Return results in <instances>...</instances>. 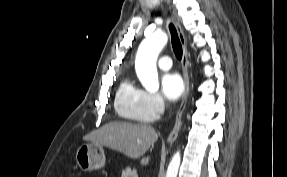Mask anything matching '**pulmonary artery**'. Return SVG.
<instances>
[{
  "label": "pulmonary artery",
  "mask_w": 287,
  "mask_h": 177,
  "mask_svg": "<svg viewBox=\"0 0 287 177\" xmlns=\"http://www.w3.org/2000/svg\"><path fill=\"white\" fill-rule=\"evenodd\" d=\"M158 66L164 70L171 68L172 66L171 58L167 55L161 56L158 59Z\"/></svg>",
  "instance_id": "obj_1"
}]
</instances>
